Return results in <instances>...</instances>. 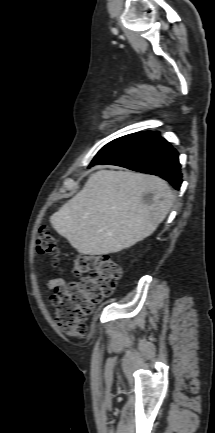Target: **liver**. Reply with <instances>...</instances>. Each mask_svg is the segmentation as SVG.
<instances>
[{
  "label": "liver",
  "instance_id": "obj_1",
  "mask_svg": "<svg viewBox=\"0 0 215 433\" xmlns=\"http://www.w3.org/2000/svg\"><path fill=\"white\" fill-rule=\"evenodd\" d=\"M152 199L144 202L143 195ZM174 201L163 179L131 171L101 170L50 217L55 230L84 255L127 249L153 234Z\"/></svg>",
  "mask_w": 215,
  "mask_h": 433
}]
</instances>
